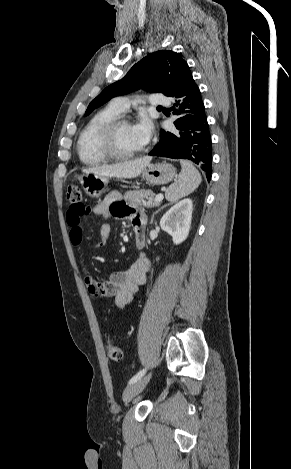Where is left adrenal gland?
<instances>
[{
    "mask_svg": "<svg viewBox=\"0 0 291 469\" xmlns=\"http://www.w3.org/2000/svg\"><path fill=\"white\" fill-rule=\"evenodd\" d=\"M168 205H169V204H165V205L161 206L158 210H156V211L153 213V215H152V217H151V223L153 222V219H154L155 214H157L160 210H162L163 208H165V207L168 206Z\"/></svg>",
    "mask_w": 291,
    "mask_h": 469,
    "instance_id": "obj_1",
    "label": "left adrenal gland"
}]
</instances>
